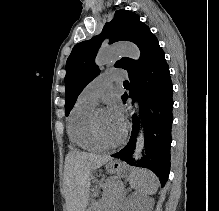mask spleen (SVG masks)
I'll return each mask as SVG.
<instances>
[{"mask_svg":"<svg viewBox=\"0 0 219 211\" xmlns=\"http://www.w3.org/2000/svg\"><path fill=\"white\" fill-rule=\"evenodd\" d=\"M131 187L144 193V195H153L159 187L158 177L150 169H132L129 175Z\"/></svg>","mask_w":219,"mask_h":211,"instance_id":"spleen-1","label":"spleen"}]
</instances>
